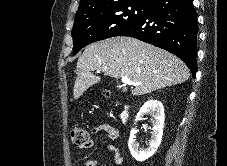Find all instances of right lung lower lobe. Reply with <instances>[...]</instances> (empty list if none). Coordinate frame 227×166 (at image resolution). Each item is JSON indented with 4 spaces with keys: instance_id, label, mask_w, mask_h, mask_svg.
<instances>
[{
    "instance_id": "98d812e1",
    "label": "right lung lower lobe",
    "mask_w": 227,
    "mask_h": 166,
    "mask_svg": "<svg viewBox=\"0 0 227 166\" xmlns=\"http://www.w3.org/2000/svg\"><path fill=\"white\" fill-rule=\"evenodd\" d=\"M197 32L192 0H154L140 20L117 36L134 37L173 53L195 77Z\"/></svg>"
}]
</instances>
